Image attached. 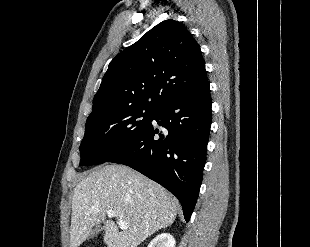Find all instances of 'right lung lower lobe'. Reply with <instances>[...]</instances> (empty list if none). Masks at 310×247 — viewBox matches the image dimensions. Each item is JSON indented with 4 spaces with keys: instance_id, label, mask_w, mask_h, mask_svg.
Masks as SVG:
<instances>
[{
    "instance_id": "right-lung-lower-lobe-1",
    "label": "right lung lower lobe",
    "mask_w": 310,
    "mask_h": 247,
    "mask_svg": "<svg viewBox=\"0 0 310 247\" xmlns=\"http://www.w3.org/2000/svg\"><path fill=\"white\" fill-rule=\"evenodd\" d=\"M152 120L165 129L159 130ZM211 126L209 81L158 108L138 139L108 162L139 171L173 193L186 222L196 204Z\"/></svg>"
}]
</instances>
